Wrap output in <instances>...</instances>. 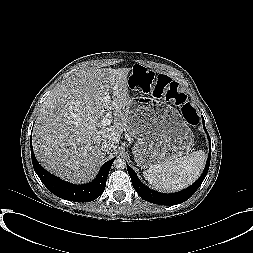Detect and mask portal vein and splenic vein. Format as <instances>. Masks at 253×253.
Instances as JSON below:
<instances>
[{"label": "portal vein and splenic vein", "instance_id": "obj_1", "mask_svg": "<svg viewBox=\"0 0 253 253\" xmlns=\"http://www.w3.org/2000/svg\"><path fill=\"white\" fill-rule=\"evenodd\" d=\"M111 123H112V112H107V114L101 120V125L109 126Z\"/></svg>", "mask_w": 253, "mask_h": 253}]
</instances>
